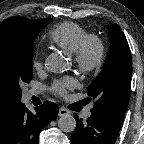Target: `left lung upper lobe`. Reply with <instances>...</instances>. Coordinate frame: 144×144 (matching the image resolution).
Here are the masks:
<instances>
[{
	"label": "left lung upper lobe",
	"mask_w": 144,
	"mask_h": 144,
	"mask_svg": "<svg viewBox=\"0 0 144 144\" xmlns=\"http://www.w3.org/2000/svg\"><path fill=\"white\" fill-rule=\"evenodd\" d=\"M111 48L99 76L88 87L89 99L99 111L122 122L130 98L132 57L126 37L117 24L109 27Z\"/></svg>",
	"instance_id": "left-lung-upper-lobe-1"
}]
</instances>
